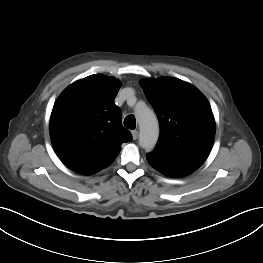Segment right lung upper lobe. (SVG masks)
<instances>
[{"label":"right lung upper lobe","mask_w":263,"mask_h":263,"mask_svg":"<svg viewBox=\"0 0 263 263\" xmlns=\"http://www.w3.org/2000/svg\"><path fill=\"white\" fill-rule=\"evenodd\" d=\"M119 88L115 78L95 74L71 84L54 104L52 145L71 170L94 174L115 160L122 143L132 140L114 103Z\"/></svg>","instance_id":"1"}]
</instances>
